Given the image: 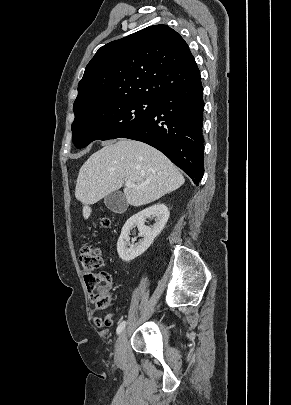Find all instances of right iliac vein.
I'll return each instance as SVG.
<instances>
[{
  "label": "right iliac vein",
  "mask_w": 291,
  "mask_h": 405,
  "mask_svg": "<svg viewBox=\"0 0 291 405\" xmlns=\"http://www.w3.org/2000/svg\"><path fill=\"white\" fill-rule=\"evenodd\" d=\"M127 347V332L122 331L117 338L115 345V358L118 362H123L125 359Z\"/></svg>",
  "instance_id": "right-iliac-vein-1"
}]
</instances>
